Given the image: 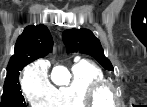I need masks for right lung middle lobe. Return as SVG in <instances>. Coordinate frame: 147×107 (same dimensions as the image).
Returning a JSON list of instances; mask_svg holds the SVG:
<instances>
[{"instance_id":"dd1d6c3e","label":"right lung middle lobe","mask_w":147,"mask_h":107,"mask_svg":"<svg viewBox=\"0 0 147 107\" xmlns=\"http://www.w3.org/2000/svg\"><path fill=\"white\" fill-rule=\"evenodd\" d=\"M30 62L20 66L19 71H21ZM19 71L6 77L1 99V107H26L24 97L20 91Z\"/></svg>"}]
</instances>
